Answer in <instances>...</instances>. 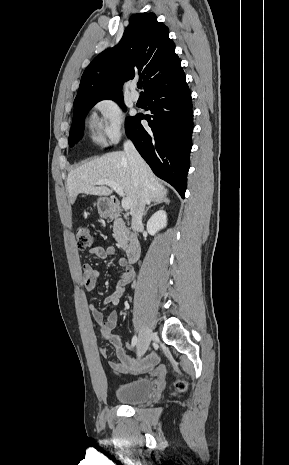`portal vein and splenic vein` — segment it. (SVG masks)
<instances>
[{
	"label": "portal vein and splenic vein",
	"instance_id": "obj_1",
	"mask_svg": "<svg viewBox=\"0 0 289 465\" xmlns=\"http://www.w3.org/2000/svg\"><path fill=\"white\" fill-rule=\"evenodd\" d=\"M95 185H108L111 187L117 194H119L122 197V208L125 210H128L131 208V199L124 197V193L122 188L115 182L110 181V180H99L95 183Z\"/></svg>",
	"mask_w": 289,
	"mask_h": 465
}]
</instances>
